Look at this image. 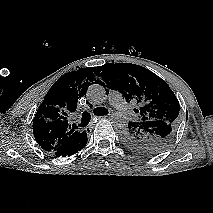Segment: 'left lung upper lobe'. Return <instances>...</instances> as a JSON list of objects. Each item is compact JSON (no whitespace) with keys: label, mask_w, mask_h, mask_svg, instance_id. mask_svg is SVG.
Returning a JSON list of instances; mask_svg holds the SVG:
<instances>
[{"label":"left lung upper lobe","mask_w":213,"mask_h":213,"mask_svg":"<svg viewBox=\"0 0 213 213\" xmlns=\"http://www.w3.org/2000/svg\"><path fill=\"white\" fill-rule=\"evenodd\" d=\"M99 83L120 91L137 108V119L122 132L126 146L143 155L165 150L177 131L179 102L168 84L148 69L131 63H108L97 67Z\"/></svg>","instance_id":"left-lung-upper-lobe-1"}]
</instances>
